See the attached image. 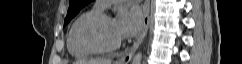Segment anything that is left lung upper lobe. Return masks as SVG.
<instances>
[{"instance_id": "5c2ea615", "label": "left lung upper lobe", "mask_w": 242, "mask_h": 64, "mask_svg": "<svg viewBox=\"0 0 242 64\" xmlns=\"http://www.w3.org/2000/svg\"><path fill=\"white\" fill-rule=\"evenodd\" d=\"M92 1L93 0H70L67 16L64 20V26L68 24L84 6Z\"/></svg>"}]
</instances>
